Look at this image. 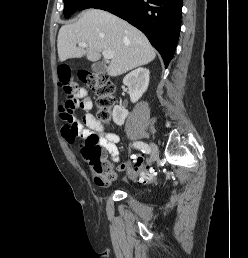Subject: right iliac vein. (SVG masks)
Segmentation results:
<instances>
[{"mask_svg": "<svg viewBox=\"0 0 248 258\" xmlns=\"http://www.w3.org/2000/svg\"><path fill=\"white\" fill-rule=\"evenodd\" d=\"M150 148H151V155L148 160V164L150 165L152 162H154L159 155L158 147L155 143H150Z\"/></svg>", "mask_w": 248, "mask_h": 258, "instance_id": "right-iliac-vein-1", "label": "right iliac vein"}]
</instances>
